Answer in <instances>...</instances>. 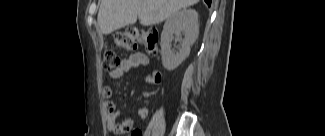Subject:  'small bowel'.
I'll use <instances>...</instances> for the list:
<instances>
[{"label": "small bowel", "mask_w": 325, "mask_h": 136, "mask_svg": "<svg viewBox=\"0 0 325 136\" xmlns=\"http://www.w3.org/2000/svg\"><path fill=\"white\" fill-rule=\"evenodd\" d=\"M150 64L149 57L142 52H136L131 54L129 57L124 58L120 61V64L108 74L110 80H116L122 77L124 74L130 72L133 69L139 67H147ZM146 82L150 85H158L161 82V74L158 71H152L147 77ZM104 94L107 97L112 95V91L108 88L104 90ZM106 111V122L108 130L113 134H123L131 131L132 121L130 119H125L118 121L120 111L116 108L113 102L105 103ZM136 113L140 118H145L147 116L146 107H138ZM139 136V135H138Z\"/></svg>", "instance_id": "obj_1"}]
</instances>
